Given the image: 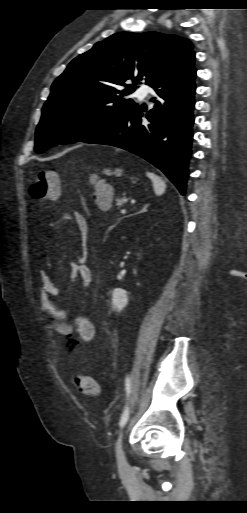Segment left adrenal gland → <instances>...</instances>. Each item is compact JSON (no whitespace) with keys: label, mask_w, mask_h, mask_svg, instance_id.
<instances>
[{"label":"left adrenal gland","mask_w":247,"mask_h":513,"mask_svg":"<svg viewBox=\"0 0 247 513\" xmlns=\"http://www.w3.org/2000/svg\"><path fill=\"white\" fill-rule=\"evenodd\" d=\"M148 206H149V204H145V205H143V207L141 208V210H140L138 213L146 212V211H147Z\"/></svg>","instance_id":"left-adrenal-gland-1"}]
</instances>
